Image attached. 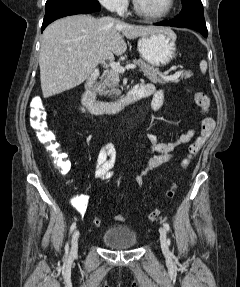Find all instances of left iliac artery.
<instances>
[{
    "label": "left iliac artery",
    "instance_id": "obj_1",
    "mask_svg": "<svg viewBox=\"0 0 240 287\" xmlns=\"http://www.w3.org/2000/svg\"><path fill=\"white\" fill-rule=\"evenodd\" d=\"M164 227H165V229H166L167 231H169V230H170V226H169V224H168V223H165V224H164Z\"/></svg>",
    "mask_w": 240,
    "mask_h": 287
}]
</instances>
